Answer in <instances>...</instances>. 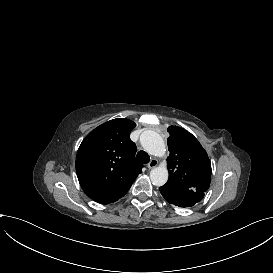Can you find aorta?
Instances as JSON below:
<instances>
[{"mask_svg": "<svg viewBox=\"0 0 273 273\" xmlns=\"http://www.w3.org/2000/svg\"><path fill=\"white\" fill-rule=\"evenodd\" d=\"M143 148L154 156H164L166 146L162 137L155 131H144L140 136ZM150 179L155 186H163L168 180V169L166 164L155 167L150 172Z\"/></svg>", "mask_w": 273, "mask_h": 273, "instance_id": "obj_1", "label": "aorta"}]
</instances>
